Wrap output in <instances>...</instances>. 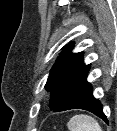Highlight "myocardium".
Wrapping results in <instances>:
<instances>
[{
    "mask_svg": "<svg viewBox=\"0 0 117 131\" xmlns=\"http://www.w3.org/2000/svg\"><path fill=\"white\" fill-rule=\"evenodd\" d=\"M45 99H49L50 98V94L47 93L45 96H44Z\"/></svg>",
    "mask_w": 117,
    "mask_h": 131,
    "instance_id": "obj_1",
    "label": "myocardium"
}]
</instances>
